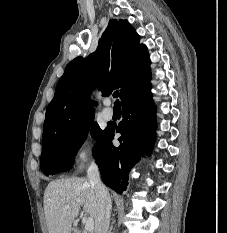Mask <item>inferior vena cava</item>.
I'll return each mask as SVG.
<instances>
[{
	"label": "inferior vena cava",
	"mask_w": 227,
	"mask_h": 233,
	"mask_svg": "<svg viewBox=\"0 0 227 233\" xmlns=\"http://www.w3.org/2000/svg\"><path fill=\"white\" fill-rule=\"evenodd\" d=\"M87 176L98 198L95 233H108L112 203L106 186L101 182L99 169L94 161L87 170Z\"/></svg>",
	"instance_id": "inferior-vena-cava-1"
}]
</instances>
